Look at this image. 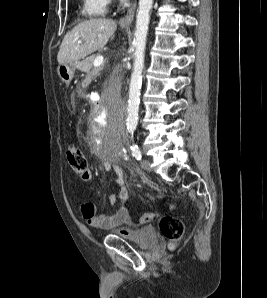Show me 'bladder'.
Here are the masks:
<instances>
[{
  "mask_svg": "<svg viewBox=\"0 0 267 298\" xmlns=\"http://www.w3.org/2000/svg\"><path fill=\"white\" fill-rule=\"evenodd\" d=\"M115 235L144 249L155 246L158 242V236L155 229L151 226H145L131 230L129 235H123L116 232Z\"/></svg>",
  "mask_w": 267,
  "mask_h": 298,
  "instance_id": "1",
  "label": "bladder"
}]
</instances>
